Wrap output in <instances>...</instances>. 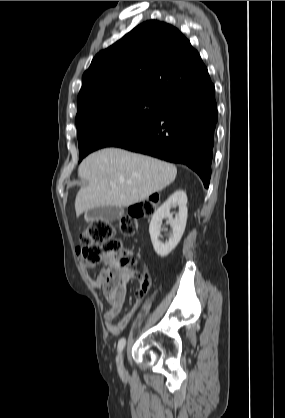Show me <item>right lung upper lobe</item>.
<instances>
[{
  "label": "right lung upper lobe",
  "instance_id": "right-lung-upper-lobe-1",
  "mask_svg": "<svg viewBox=\"0 0 285 418\" xmlns=\"http://www.w3.org/2000/svg\"><path fill=\"white\" fill-rule=\"evenodd\" d=\"M207 73L198 51L176 27L146 21L94 57L82 77L76 123L115 105L162 104Z\"/></svg>",
  "mask_w": 285,
  "mask_h": 418
}]
</instances>
